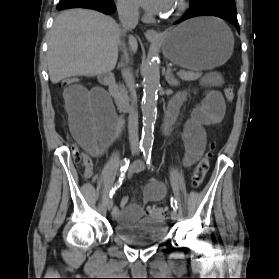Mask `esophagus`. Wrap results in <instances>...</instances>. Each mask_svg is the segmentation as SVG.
<instances>
[{
    "label": "esophagus",
    "instance_id": "34e87169",
    "mask_svg": "<svg viewBox=\"0 0 279 279\" xmlns=\"http://www.w3.org/2000/svg\"><path fill=\"white\" fill-rule=\"evenodd\" d=\"M145 37L150 41H156L160 39V34L154 29H148L145 31Z\"/></svg>",
    "mask_w": 279,
    "mask_h": 279
}]
</instances>
